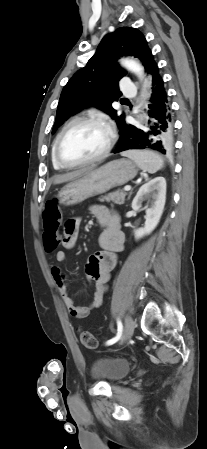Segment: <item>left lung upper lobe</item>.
Segmentation results:
<instances>
[{
    "label": "left lung upper lobe",
    "mask_w": 207,
    "mask_h": 449,
    "mask_svg": "<svg viewBox=\"0 0 207 449\" xmlns=\"http://www.w3.org/2000/svg\"><path fill=\"white\" fill-rule=\"evenodd\" d=\"M124 55L139 58L146 71L155 62L147 41L139 30L121 27L107 34L87 65L77 71L64 86L53 132L71 115L93 104L108 113L121 128L125 123V116H117V111L111 104L122 95L118 82L126 72L116 61Z\"/></svg>",
    "instance_id": "5c2ea615"
}]
</instances>
